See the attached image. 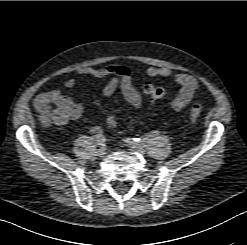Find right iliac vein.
Segmentation results:
<instances>
[{
    "instance_id": "right-iliac-vein-1",
    "label": "right iliac vein",
    "mask_w": 247,
    "mask_h": 245,
    "mask_svg": "<svg viewBox=\"0 0 247 245\" xmlns=\"http://www.w3.org/2000/svg\"><path fill=\"white\" fill-rule=\"evenodd\" d=\"M96 155L98 157H103L105 155V149H103V148L98 149L96 152Z\"/></svg>"
}]
</instances>
